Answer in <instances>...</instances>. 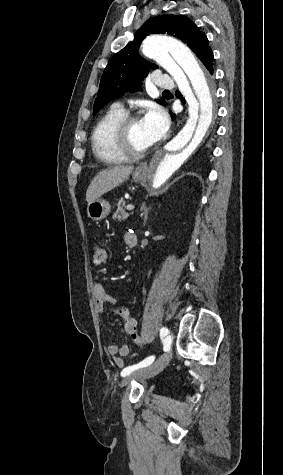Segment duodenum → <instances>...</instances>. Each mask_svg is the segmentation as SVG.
Wrapping results in <instances>:
<instances>
[{"instance_id":"410a0bca","label":"duodenum","mask_w":283,"mask_h":475,"mask_svg":"<svg viewBox=\"0 0 283 475\" xmlns=\"http://www.w3.org/2000/svg\"><path fill=\"white\" fill-rule=\"evenodd\" d=\"M137 245V238H132L129 242L130 247H135Z\"/></svg>"}]
</instances>
